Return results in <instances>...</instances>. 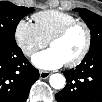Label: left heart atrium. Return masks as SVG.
<instances>
[{
  "label": "left heart atrium",
  "instance_id": "left-heart-atrium-1",
  "mask_svg": "<svg viewBox=\"0 0 102 102\" xmlns=\"http://www.w3.org/2000/svg\"><path fill=\"white\" fill-rule=\"evenodd\" d=\"M33 64L42 70H54L64 65L63 59L53 49L36 53L32 57Z\"/></svg>",
  "mask_w": 102,
  "mask_h": 102
}]
</instances>
